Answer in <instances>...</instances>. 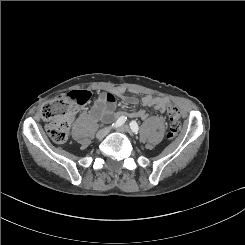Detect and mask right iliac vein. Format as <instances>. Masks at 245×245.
<instances>
[{
	"instance_id": "63e3f726",
	"label": "right iliac vein",
	"mask_w": 245,
	"mask_h": 245,
	"mask_svg": "<svg viewBox=\"0 0 245 245\" xmlns=\"http://www.w3.org/2000/svg\"><path fill=\"white\" fill-rule=\"evenodd\" d=\"M110 132V127H105L96 134L97 139H103Z\"/></svg>"
}]
</instances>
